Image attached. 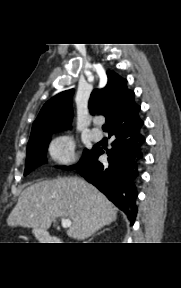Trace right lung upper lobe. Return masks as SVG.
<instances>
[{"label":"right lung upper lobe","instance_id":"1","mask_svg":"<svg viewBox=\"0 0 181 288\" xmlns=\"http://www.w3.org/2000/svg\"><path fill=\"white\" fill-rule=\"evenodd\" d=\"M107 76V85L91 94L90 112H101L107 116L109 134L139 125L142 122L138 116L140 106L134 102V92L128 90L127 80L112 71H107ZM73 93V89L63 91L44 104L33 123L30 140L42 133L69 127Z\"/></svg>","mask_w":181,"mask_h":288}]
</instances>
